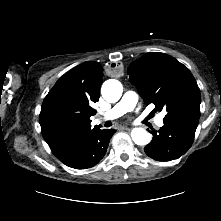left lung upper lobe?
I'll return each mask as SVG.
<instances>
[{"instance_id":"obj_1","label":"left lung upper lobe","mask_w":221,"mask_h":221,"mask_svg":"<svg viewBox=\"0 0 221 221\" xmlns=\"http://www.w3.org/2000/svg\"><path fill=\"white\" fill-rule=\"evenodd\" d=\"M129 81L136 86L146 105L165 109L164 121L200 118V90L190 70L175 58L150 52L132 62Z\"/></svg>"}]
</instances>
